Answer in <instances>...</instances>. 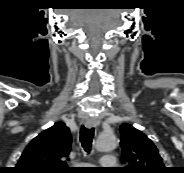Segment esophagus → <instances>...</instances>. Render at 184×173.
<instances>
[{
    "label": "esophagus",
    "instance_id": "obj_1",
    "mask_svg": "<svg viewBox=\"0 0 184 173\" xmlns=\"http://www.w3.org/2000/svg\"><path fill=\"white\" fill-rule=\"evenodd\" d=\"M84 123L87 128H92L99 125L100 119L96 117H92V118L86 119Z\"/></svg>",
    "mask_w": 184,
    "mask_h": 173
}]
</instances>
